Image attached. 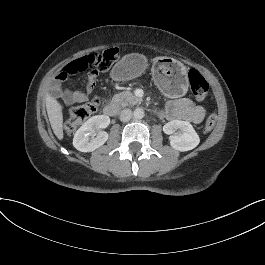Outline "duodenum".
<instances>
[{
	"instance_id": "410a0bca",
	"label": "duodenum",
	"mask_w": 265,
	"mask_h": 265,
	"mask_svg": "<svg viewBox=\"0 0 265 265\" xmlns=\"http://www.w3.org/2000/svg\"><path fill=\"white\" fill-rule=\"evenodd\" d=\"M119 105L115 102H109L104 106L103 112L108 117H114L119 113Z\"/></svg>"
}]
</instances>
